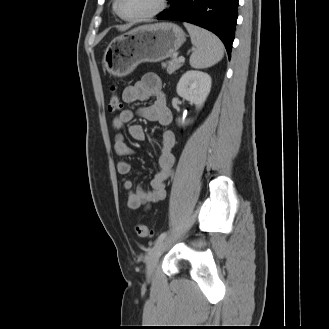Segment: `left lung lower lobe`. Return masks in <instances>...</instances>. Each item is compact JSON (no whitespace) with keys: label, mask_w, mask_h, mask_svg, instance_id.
Listing matches in <instances>:
<instances>
[{"label":"left lung lower lobe","mask_w":329,"mask_h":329,"mask_svg":"<svg viewBox=\"0 0 329 329\" xmlns=\"http://www.w3.org/2000/svg\"><path fill=\"white\" fill-rule=\"evenodd\" d=\"M171 8L159 20L185 21L215 33L224 43L229 58L238 17V0H169Z\"/></svg>","instance_id":"left-lung-lower-lobe-1"}]
</instances>
